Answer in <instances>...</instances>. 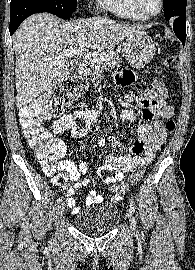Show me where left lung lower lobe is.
Returning a JSON list of instances; mask_svg holds the SVG:
<instances>
[{
	"label": "left lung lower lobe",
	"instance_id": "0a47b994",
	"mask_svg": "<svg viewBox=\"0 0 195 270\" xmlns=\"http://www.w3.org/2000/svg\"><path fill=\"white\" fill-rule=\"evenodd\" d=\"M170 22L173 24L174 32L184 47L186 39V17H176L170 20Z\"/></svg>",
	"mask_w": 195,
	"mask_h": 270
}]
</instances>
